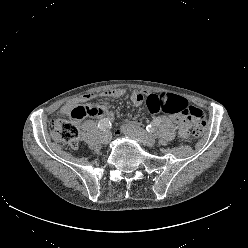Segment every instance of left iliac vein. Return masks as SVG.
Masks as SVG:
<instances>
[{"instance_id": "left-iliac-vein-1", "label": "left iliac vein", "mask_w": 248, "mask_h": 248, "mask_svg": "<svg viewBox=\"0 0 248 248\" xmlns=\"http://www.w3.org/2000/svg\"><path fill=\"white\" fill-rule=\"evenodd\" d=\"M122 131L128 136L140 140L142 143H144L147 146L152 147L156 143L155 137L152 134L148 133L144 129L139 128L133 124L123 125Z\"/></svg>"}]
</instances>
